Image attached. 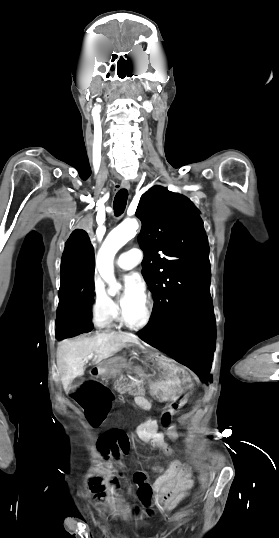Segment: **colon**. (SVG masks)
<instances>
[{"label":"colon","mask_w":279,"mask_h":538,"mask_svg":"<svg viewBox=\"0 0 279 538\" xmlns=\"http://www.w3.org/2000/svg\"><path fill=\"white\" fill-rule=\"evenodd\" d=\"M98 448L104 453H112L115 459L125 454L129 450V440L126 433L122 430L112 429L104 432L98 440ZM177 473L182 481H191V468L186 463L178 462ZM118 477H123L122 470H117ZM117 479L115 478V481ZM133 482L137 486V497L145 504L151 503L152 492L154 487L146 482V476L142 472H137L133 476Z\"/></svg>","instance_id":"1"}]
</instances>
